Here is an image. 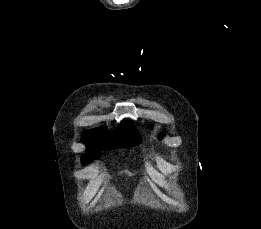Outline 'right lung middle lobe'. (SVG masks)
I'll list each match as a JSON object with an SVG mask.
<instances>
[{
    "instance_id": "obj_1",
    "label": "right lung middle lobe",
    "mask_w": 261,
    "mask_h": 229,
    "mask_svg": "<svg viewBox=\"0 0 261 229\" xmlns=\"http://www.w3.org/2000/svg\"><path fill=\"white\" fill-rule=\"evenodd\" d=\"M122 134L128 142V145L125 146V147H131V146L137 145L141 142V139L139 138V136L137 135V133L133 129V126H129V127L124 128L122 130ZM87 151L90 152V153L85 154L83 156L82 160H83L84 163H88L89 161L92 160V158L94 156L99 155L98 150H87Z\"/></svg>"
}]
</instances>
